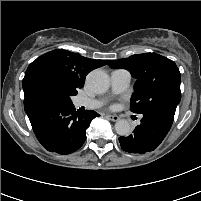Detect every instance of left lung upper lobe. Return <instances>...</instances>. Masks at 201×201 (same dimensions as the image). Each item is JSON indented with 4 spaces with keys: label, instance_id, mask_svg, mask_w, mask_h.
Here are the masks:
<instances>
[{
    "label": "left lung upper lobe",
    "instance_id": "5c2ea615",
    "mask_svg": "<svg viewBox=\"0 0 201 201\" xmlns=\"http://www.w3.org/2000/svg\"><path fill=\"white\" fill-rule=\"evenodd\" d=\"M111 68H123L136 78L130 109L146 114L154 110L175 113L181 100L180 72L175 62L156 53L132 55L109 61Z\"/></svg>",
    "mask_w": 201,
    "mask_h": 201
}]
</instances>
